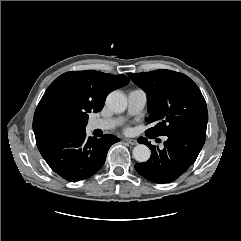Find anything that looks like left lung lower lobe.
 Masks as SVG:
<instances>
[{
  "label": "left lung lower lobe",
  "mask_w": 241,
  "mask_h": 241,
  "mask_svg": "<svg viewBox=\"0 0 241 241\" xmlns=\"http://www.w3.org/2000/svg\"><path fill=\"white\" fill-rule=\"evenodd\" d=\"M205 137L206 131L199 129L171 134L167 136L163 150H157L144 139V143L152 151L151 157L147 162L136 164L135 169L141 176L154 183L173 182L195 162Z\"/></svg>",
  "instance_id": "left-lung-lower-lobe-1"
}]
</instances>
